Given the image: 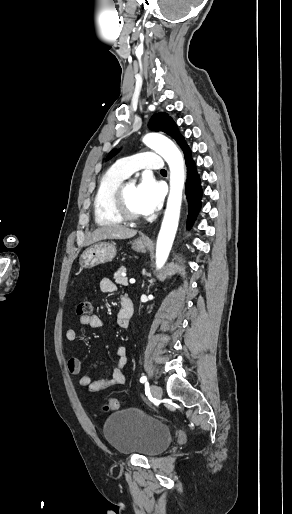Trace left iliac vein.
I'll use <instances>...</instances> for the list:
<instances>
[{"mask_svg":"<svg viewBox=\"0 0 292 514\" xmlns=\"http://www.w3.org/2000/svg\"><path fill=\"white\" fill-rule=\"evenodd\" d=\"M151 393H152V396L157 400H160L162 398L163 392H162V389L158 385L153 384L151 386Z\"/></svg>","mask_w":292,"mask_h":514,"instance_id":"1","label":"left iliac vein"}]
</instances>
